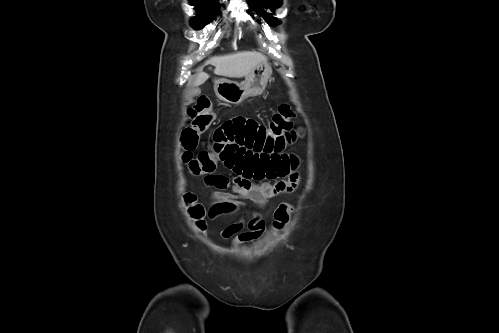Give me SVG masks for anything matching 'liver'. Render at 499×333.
I'll return each instance as SVG.
<instances>
[{"label":"liver","instance_id":"obj_1","mask_svg":"<svg viewBox=\"0 0 499 333\" xmlns=\"http://www.w3.org/2000/svg\"><path fill=\"white\" fill-rule=\"evenodd\" d=\"M267 61L265 55L259 52L243 51L233 54L215 56L206 61L215 67L214 73L219 76L230 78L246 77L250 71L260 63ZM209 75L199 70L196 75L194 86L202 85Z\"/></svg>","mask_w":499,"mask_h":333}]
</instances>
